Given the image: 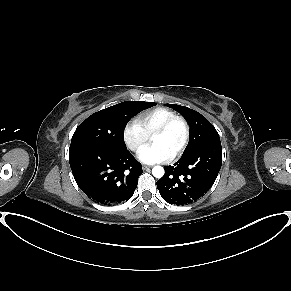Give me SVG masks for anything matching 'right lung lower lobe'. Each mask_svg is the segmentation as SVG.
Masks as SVG:
<instances>
[{
  "instance_id": "1",
  "label": "right lung lower lobe",
  "mask_w": 291,
  "mask_h": 291,
  "mask_svg": "<svg viewBox=\"0 0 291 291\" xmlns=\"http://www.w3.org/2000/svg\"><path fill=\"white\" fill-rule=\"evenodd\" d=\"M77 185L98 204L115 205L131 198L143 172L127 150L83 147L69 151Z\"/></svg>"
}]
</instances>
